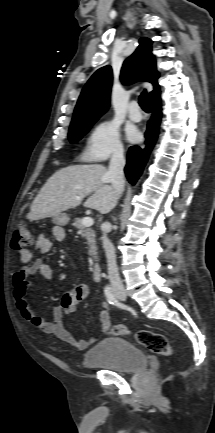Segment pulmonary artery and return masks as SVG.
Masks as SVG:
<instances>
[{
    "label": "pulmonary artery",
    "instance_id": "e3ab8cb5",
    "mask_svg": "<svg viewBox=\"0 0 215 433\" xmlns=\"http://www.w3.org/2000/svg\"><path fill=\"white\" fill-rule=\"evenodd\" d=\"M129 117L135 122H139L142 119V113L139 110V106L136 101H132L129 104Z\"/></svg>",
    "mask_w": 215,
    "mask_h": 433
}]
</instances>
